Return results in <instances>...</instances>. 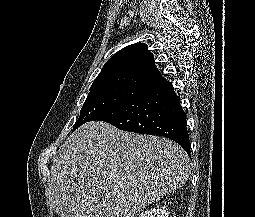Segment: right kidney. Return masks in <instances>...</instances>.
I'll list each match as a JSON object with an SVG mask.
<instances>
[{
	"mask_svg": "<svg viewBox=\"0 0 255 217\" xmlns=\"http://www.w3.org/2000/svg\"><path fill=\"white\" fill-rule=\"evenodd\" d=\"M138 217H169V211L166 207H157L142 212Z\"/></svg>",
	"mask_w": 255,
	"mask_h": 217,
	"instance_id": "obj_1",
	"label": "right kidney"
}]
</instances>
